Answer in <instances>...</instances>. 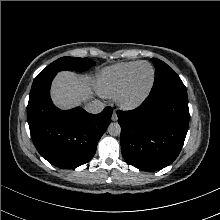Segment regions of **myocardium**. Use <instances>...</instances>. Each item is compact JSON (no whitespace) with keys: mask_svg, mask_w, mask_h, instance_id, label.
Returning <instances> with one entry per match:
<instances>
[{"mask_svg":"<svg viewBox=\"0 0 220 220\" xmlns=\"http://www.w3.org/2000/svg\"><path fill=\"white\" fill-rule=\"evenodd\" d=\"M142 65H147L151 69V79H150L147 87L142 92H140L137 95H133L132 94L133 78H134V75H135L137 69ZM154 82H155V70L152 67V65L147 62H139L131 70V72L129 73V75L126 79V82H125L123 88L121 89V91L117 95L118 104L125 110H133V109L140 107L146 101V99L149 97V95L152 91Z\"/></svg>","mask_w":220,"mask_h":220,"instance_id":"f54148a6","label":"myocardium"}]
</instances>
